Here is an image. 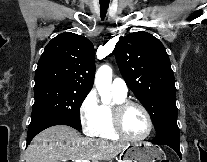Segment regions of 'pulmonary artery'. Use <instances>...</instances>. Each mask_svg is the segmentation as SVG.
<instances>
[{
    "instance_id": "1",
    "label": "pulmonary artery",
    "mask_w": 207,
    "mask_h": 162,
    "mask_svg": "<svg viewBox=\"0 0 207 162\" xmlns=\"http://www.w3.org/2000/svg\"><path fill=\"white\" fill-rule=\"evenodd\" d=\"M111 91L114 95L119 97H126L128 88L124 80L116 78L111 84Z\"/></svg>"
}]
</instances>
